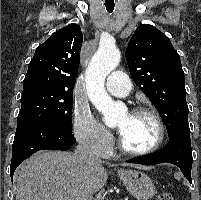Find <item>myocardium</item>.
<instances>
[{
  "mask_svg": "<svg viewBox=\"0 0 201 200\" xmlns=\"http://www.w3.org/2000/svg\"><path fill=\"white\" fill-rule=\"evenodd\" d=\"M129 114H131V115H147V116L151 117L155 121V123L158 127L159 135H158L157 141L151 147L144 149V150H134V149L129 148L125 144L122 136L119 134L118 145H119V148L121 149V151H123L126 154L134 155V156H145V155H149V154H152V153H155L156 151H158L163 146L165 139H166V128H165L164 122H163L162 118L159 116V114L156 111H154L148 107H145V106L134 107L130 110Z\"/></svg>",
  "mask_w": 201,
  "mask_h": 200,
  "instance_id": "f54148a6",
  "label": "myocardium"
}]
</instances>
